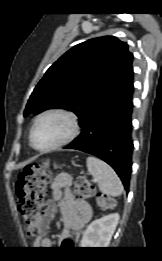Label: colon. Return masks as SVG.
<instances>
[{
	"label": "colon",
	"instance_id": "colon-1",
	"mask_svg": "<svg viewBox=\"0 0 162 261\" xmlns=\"http://www.w3.org/2000/svg\"><path fill=\"white\" fill-rule=\"evenodd\" d=\"M50 180L51 176L44 164H33L27 166L19 174L16 182L18 210L30 235L38 233L40 229L43 216L41 199ZM95 195L96 189L87 178L78 177L76 179L74 197L77 200L89 199ZM97 205L100 209L106 210L113 207L114 201L108 196L97 195ZM67 245H69V242L64 244V246Z\"/></svg>",
	"mask_w": 162,
	"mask_h": 261
}]
</instances>
